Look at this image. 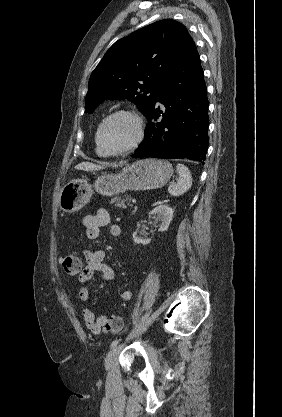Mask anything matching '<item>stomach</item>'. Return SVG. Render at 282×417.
<instances>
[{
  "label": "stomach",
  "instance_id": "1",
  "mask_svg": "<svg viewBox=\"0 0 282 417\" xmlns=\"http://www.w3.org/2000/svg\"><path fill=\"white\" fill-rule=\"evenodd\" d=\"M173 174V166L168 160L143 158L136 160L131 166L123 168L118 174H103L98 176L94 184H87L85 178H74L62 188L59 196V206L65 213H76L89 202L92 188L103 194L112 196L124 190H148L161 188Z\"/></svg>",
  "mask_w": 282,
  "mask_h": 417
}]
</instances>
